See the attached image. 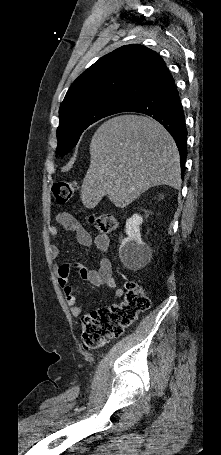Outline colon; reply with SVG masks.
I'll use <instances>...</instances> for the list:
<instances>
[{"mask_svg":"<svg viewBox=\"0 0 221 455\" xmlns=\"http://www.w3.org/2000/svg\"><path fill=\"white\" fill-rule=\"evenodd\" d=\"M78 191L73 180L60 181L53 185L52 196L58 206L68 203ZM91 225L101 233L114 232L119 225L111 213H101L90 218ZM150 307V299L143 286L128 282L124 301L91 312L84 318L83 343L87 349H96L113 338L121 336L139 315Z\"/></svg>","mask_w":221,"mask_h":455,"instance_id":"5ec220e1","label":"colon"}]
</instances>
